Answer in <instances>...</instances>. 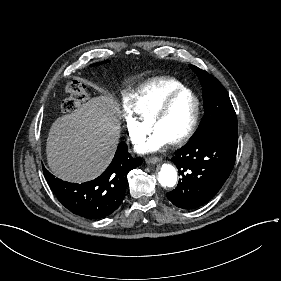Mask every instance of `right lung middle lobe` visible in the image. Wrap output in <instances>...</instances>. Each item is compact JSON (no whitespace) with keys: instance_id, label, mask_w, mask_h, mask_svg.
<instances>
[{"instance_id":"obj_1","label":"right lung middle lobe","mask_w":281,"mask_h":281,"mask_svg":"<svg viewBox=\"0 0 281 281\" xmlns=\"http://www.w3.org/2000/svg\"><path fill=\"white\" fill-rule=\"evenodd\" d=\"M98 64H100V63H97V64H93V65H98Z\"/></svg>"}]
</instances>
